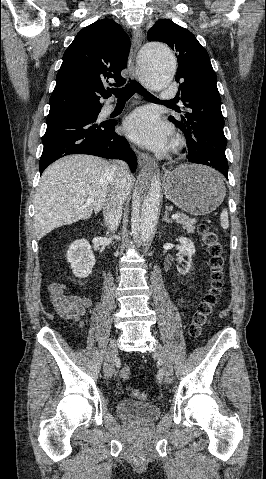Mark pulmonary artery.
Returning a JSON list of instances; mask_svg holds the SVG:
<instances>
[{"mask_svg":"<svg viewBox=\"0 0 266 479\" xmlns=\"http://www.w3.org/2000/svg\"><path fill=\"white\" fill-rule=\"evenodd\" d=\"M176 88L173 87H166L161 92L162 99H173L176 94ZM113 106H109V109H112Z\"/></svg>","mask_w":266,"mask_h":479,"instance_id":"e3ab8cb5","label":"pulmonary artery"}]
</instances>
